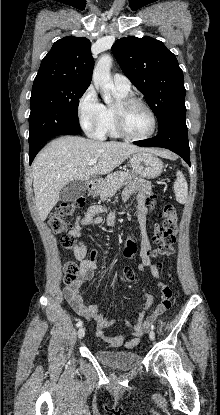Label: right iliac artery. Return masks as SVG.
<instances>
[{"label": "right iliac artery", "instance_id": "right-iliac-artery-1", "mask_svg": "<svg viewBox=\"0 0 220 415\" xmlns=\"http://www.w3.org/2000/svg\"><path fill=\"white\" fill-rule=\"evenodd\" d=\"M76 326H77V328L80 327V326H82V321H78L77 324H76Z\"/></svg>", "mask_w": 220, "mask_h": 415}]
</instances>
